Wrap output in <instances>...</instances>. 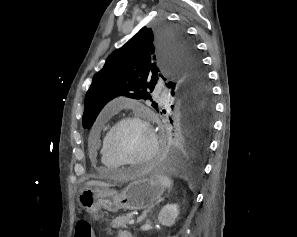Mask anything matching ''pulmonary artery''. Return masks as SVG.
Masks as SVG:
<instances>
[{
	"instance_id": "1",
	"label": "pulmonary artery",
	"mask_w": 297,
	"mask_h": 237,
	"mask_svg": "<svg viewBox=\"0 0 297 237\" xmlns=\"http://www.w3.org/2000/svg\"><path fill=\"white\" fill-rule=\"evenodd\" d=\"M157 92L160 93L161 88L158 89ZM121 104H122V101L117 99V100L110 102L107 108H108V110L115 111L120 107Z\"/></svg>"
}]
</instances>
